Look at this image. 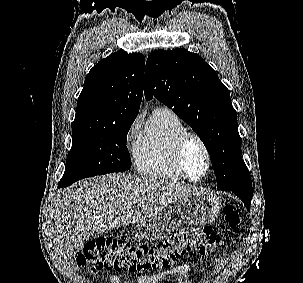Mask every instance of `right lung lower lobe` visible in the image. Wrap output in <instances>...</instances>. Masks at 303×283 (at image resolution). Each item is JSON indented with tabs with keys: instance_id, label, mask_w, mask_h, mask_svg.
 Listing matches in <instances>:
<instances>
[{
	"instance_id": "right-lung-lower-lobe-1",
	"label": "right lung lower lobe",
	"mask_w": 303,
	"mask_h": 283,
	"mask_svg": "<svg viewBox=\"0 0 303 283\" xmlns=\"http://www.w3.org/2000/svg\"><path fill=\"white\" fill-rule=\"evenodd\" d=\"M65 186H68V185H66L63 181H60L58 184V187H65Z\"/></svg>"
}]
</instances>
